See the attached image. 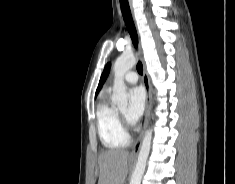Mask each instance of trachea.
<instances>
[{"mask_svg": "<svg viewBox=\"0 0 235 184\" xmlns=\"http://www.w3.org/2000/svg\"><path fill=\"white\" fill-rule=\"evenodd\" d=\"M120 7H121L124 22L126 24L128 32L131 36L132 42H133L135 48H137L138 47V37H137L134 22H133V19H132V15H131L130 7H129V4H128V0H120ZM137 72L140 75L143 74V65L140 61L137 63Z\"/></svg>", "mask_w": 235, "mask_h": 184, "instance_id": "1", "label": "trachea"}]
</instances>
